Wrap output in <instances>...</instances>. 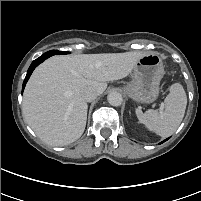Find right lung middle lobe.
I'll return each mask as SVG.
<instances>
[{
	"label": "right lung middle lobe",
	"mask_w": 201,
	"mask_h": 201,
	"mask_svg": "<svg viewBox=\"0 0 201 201\" xmlns=\"http://www.w3.org/2000/svg\"><path fill=\"white\" fill-rule=\"evenodd\" d=\"M47 53H50L51 56H52V55H55V54H68L69 52L58 51V50H51V51H49Z\"/></svg>",
	"instance_id": "1"
}]
</instances>
